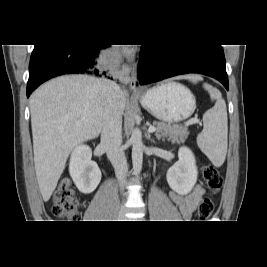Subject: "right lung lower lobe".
<instances>
[{
  "label": "right lung lower lobe",
  "instance_id": "right-lung-lower-lobe-1",
  "mask_svg": "<svg viewBox=\"0 0 267 267\" xmlns=\"http://www.w3.org/2000/svg\"><path fill=\"white\" fill-rule=\"evenodd\" d=\"M108 45H34L29 64L27 97L43 82L63 74L106 76L100 53Z\"/></svg>",
  "mask_w": 267,
  "mask_h": 267
}]
</instances>
